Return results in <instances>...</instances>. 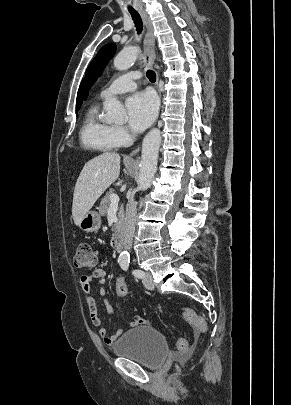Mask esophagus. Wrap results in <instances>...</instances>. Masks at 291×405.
Returning <instances> with one entry per match:
<instances>
[{
    "instance_id": "esophagus-1",
    "label": "esophagus",
    "mask_w": 291,
    "mask_h": 405,
    "mask_svg": "<svg viewBox=\"0 0 291 405\" xmlns=\"http://www.w3.org/2000/svg\"><path fill=\"white\" fill-rule=\"evenodd\" d=\"M141 16L145 22L146 26V34L144 37V60L145 63L147 64L148 67L153 69L154 62H155V54L153 52V46H154V30L152 23L148 17V15L144 12L141 11ZM140 151V146H138L136 149H134L131 153L130 156H136Z\"/></svg>"
}]
</instances>
